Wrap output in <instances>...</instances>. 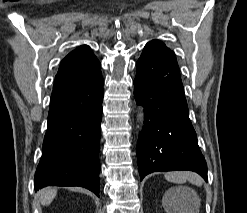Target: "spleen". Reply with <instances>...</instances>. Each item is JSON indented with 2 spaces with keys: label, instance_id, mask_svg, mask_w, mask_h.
I'll use <instances>...</instances> for the list:
<instances>
[{
  "label": "spleen",
  "instance_id": "obj_1",
  "mask_svg": "<svg viewBox=\"0 0 247 213\" xmlns=\"http://www.w3.org/2000/svg\"><path fill=\"white\" fill-rule=\"evenodd\" d=\"M166 180L173 182V183H178L182 184L188 180L190 183L196 185V186H201L202 185V179L200 176L197 174L191 173V172H168L165 174ZM175 189H171L170 191L167 192L166 195L170 196L173 194ZM181 204V201H176V206H179ZM176 208L175 205L174 207H171V205L168 206V211L169 213H176Z\"/></svg>",
  "mask_w": 247,
  "mask_h": 213
}]
</instances>
